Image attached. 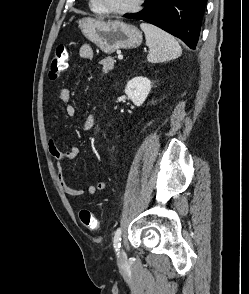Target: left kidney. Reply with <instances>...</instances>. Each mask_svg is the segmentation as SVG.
Listing matches in <instances>:
<instances>
[{
  "mask_svg": "<svg viewBox=\"0 0 249 294\" xmlns=\"http://www.w3.org/2000/svg\"><path fill=\"white\" fill-rule=\"evenodd\" d=\"M151 90V81L143 76L134 77L128 81L125 94L136 106H141Z\"/></svg>",
  "mask_w": 249,
  "mask_h": 294,
  "instance_id": "1",
  "label": "left kidney"
}]
</instances>
